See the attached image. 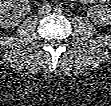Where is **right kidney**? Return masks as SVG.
Masks as SVG:
<instances>
[{
    "mask_svg": "<svg viewBox=\"0 0 111 106\" xmlns=\"http://www.w3.org/2000/svg\"><path fill=\"white\" fill-rule=\"evenodd\" d=\"M28 3V1L18 2L16 0L2 1L0 5L1 26L6 28L16 26L21 21L22 12L29 9Z\"/></svg>",
    "mask_w": 111,
    "mask_h": 106,
    "instance_id": "1",
    "label": "right kidney"
}]
</instances>
